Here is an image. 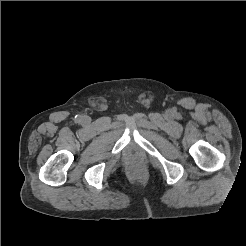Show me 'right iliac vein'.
<instances>
[{
	"mask_svg": "<svg viewBox=\"0 0 246 246\" xmlns=\"http://www.w3.org/2000/svg\"><path fill=\"white\" fill-rule=\"evenodd\" d=\"M83 121H84V122H87V121H88V118H87V117H84V118H83Z\"/></svg>",
	"mask_w": 246,
	"mask_h": 246,
	"instance_id": "right-iliac-vein-1",
	"label": "right iliac vein"
}]
</instances>
